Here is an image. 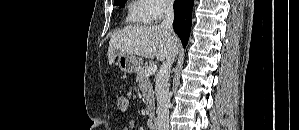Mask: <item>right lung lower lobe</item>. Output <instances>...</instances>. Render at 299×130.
<instances>
[{"label":"right lung lower lobe","instance_id":"obj_1","mask_svg":"<svg viewBox=\"0 0 299 130\" xmlns=\"http://www.w3.org/2000/svg\"><path fill=\"white\" fill-rule=\"evenodd\" d=\"M193 2L194 0H176L174 4L173 28L180 37L183 47H186L190 35Z\"/></svg>","mask_w":299,"mask_h":130}]
</instances>
